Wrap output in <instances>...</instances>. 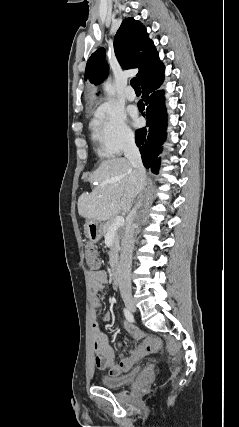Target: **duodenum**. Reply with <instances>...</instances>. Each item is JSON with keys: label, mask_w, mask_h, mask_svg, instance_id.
Returning <instances> with one entry per match:
<instances>
[{"label": "duodenum", "mask_w": 239, "mask_h": 427, "mask_svg": "<svg viewBox=\"0 0 239 427\" xmlns=\"http://www.w3.org/2000/svg\"><path fill=\"white\" fill-rule=\"evenodd\" d=\"M121 276V268L118 262L112 265V278L114 282H118Z\"/></svg>", "instance_id": "obj_1"}]
</instances>
